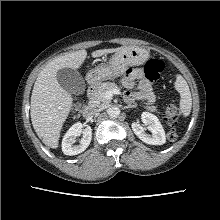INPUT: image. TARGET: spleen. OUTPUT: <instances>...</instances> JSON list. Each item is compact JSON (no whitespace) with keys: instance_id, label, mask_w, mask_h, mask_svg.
Segmentation results:
<instances>
[{"instance_id":"obj_1","label":"spleen","mask_w":220,"mask_h":220,"mask_svg":"<svg viewBox=\"0 0 220 220\" xmlns=\"http://www.w3.org/2000/svg\"><path fill=\"white\" fill-rule=\"evenodd\" d=\"M175 89L180 93V110L182 114L187 117L189 116L192 108V98L189 86L186 80L181 75L176 76Z\"/></svg>"}]
</instances>
